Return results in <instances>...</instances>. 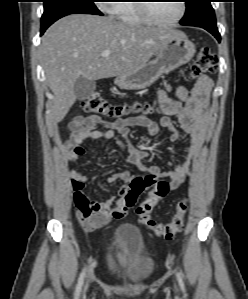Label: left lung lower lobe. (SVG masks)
I'll return each instance as SVG.
<instances>
[{
  "label": "left lung lower lobe",
  "mask_w": 248,
  "mask_h": 299,
  "mask_svg": "<svg viewBox=\"0 0 248 299\" xmlns=\"http://www.w3.org/2000/svg\"><path fill=\"white\" fill-rule=\"evenodd\" d=\"M201 28H204L205 30L210 32L212 35H214L216 37V39L218 40V42L221 41L220 34H219L216 26H203Z\"/></svg>",
  "instance_id": "obj_1"
}]
</instances>
